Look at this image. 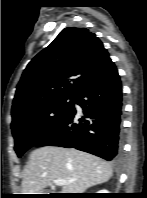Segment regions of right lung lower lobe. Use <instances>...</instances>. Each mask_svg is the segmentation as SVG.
Wrapping results in <instances>:
<instances>
[{
	"label": "right lung lower lobe",
	"instance_id": "right-lung-lower-lobe-1",
	"mask_svg": "<svg viewBox=\"0 0 147 198\" xmlns=\"http://www.w3.org/2000/svg\"><path fill=\"white\" fill-rule=\"evenodd\" d=\"M73 103L81 106L84 115L78 118L73 106L60 125L35 146L71 147L108 161L116 159L120 153L122 86L112 61Z\"/></svg>",
	"mask_w": 147,
	"mask_h": 198
}]
</instances>
